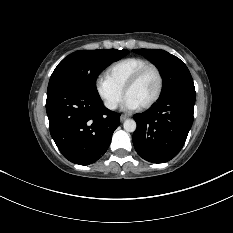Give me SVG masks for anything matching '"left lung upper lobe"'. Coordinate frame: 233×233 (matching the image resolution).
Listing matches in <instances>:
<instances>
[{
	"label": "left lung upper lobe",
	"mask_w": 233,
	"mask_h": 233,
	"mask_svg": "<svg viewBox=\"0 0 233 233\" xmlns=\"http://www.w3.org/2000/svg\"><path fill=\"white\" fill-rule=\"evenodd\" d=\"M160 69L163 77L161 98L174 93L186 92L195 94V87L187 66L176 56L160 49H135Z\"/></svg>",
	"instance_id": "left-lung-upper-lobe-1"
}]
</instances>
